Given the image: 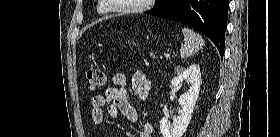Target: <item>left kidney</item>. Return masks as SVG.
<instances>
[{
  "label": "left kidney",
  "instance_id": "1",
  "mask_svg": "<svg viewBox=\"0 0 280 137\" xmlns=\"http://www.w3.org/2000/svg\"><path fill=\"white\" fill-rule=\"evenodd\" d=\"M183 82L188 84L189 89L179 99L181 105L179 116L173 118L172 125L168 122V116H164L160 121V131L163 137H182L185 133L200 91L201 73L199 65L193 64L180 71L172 79L171 84L174 88H180Z\"/></svg>",
  "mask_w": 280,
  "mask_h": 137
}]
</instances>
